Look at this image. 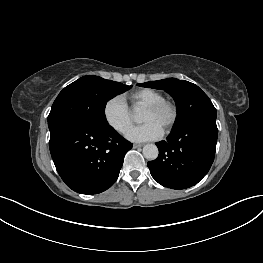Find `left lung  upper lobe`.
Returning <instances> with one entry per match:
<instances>
[{"mask_svg": "<svg viewBox=\"0 0 263 263\" xmlns=\"http://www.w3.org/2000/svg\"><path fill=\"white\" fill-rule=\"evenodd\" d=\"M137 85L165 90L173 97L178 113L174 129L198 120L216 119V109L208 96L191 82L168 78Z\"/></svg>", "mask_w": 263, "mask_h": 263, "instance_id": "obj_1", "label": "left lung upper lobe"}]
</instances>
